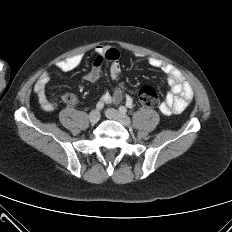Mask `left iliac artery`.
<instances>
[{
  "mask_svg": "<svg viewBox=\"0 0 232 232\" xmlns=\"http://www.w3.org/2000/svg\"><path fill=\"white\" fill-rule=\"evenodd\" d=\"M127 106H128V105H127ZM129 107H131V105H130ZM119 111L122 112V113H126V112H127V108L124 107V106H120V107H119Z\"/></svg>",
  "mask_w": 232,
  "mask_h": 232,
  "instance_id": "1",
  "label": "left iliac artery"
}]
</instances>
